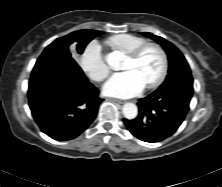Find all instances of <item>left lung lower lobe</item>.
I'll use <instances>...</instances> for the list:
<instances>
[{
  "label": "left lung lower lobe",
  "instance_id": "1",
  "mask_svg": "<svg viewBox=\"0 0 222 187\" xmlns=\"http://www.w3.org/2000/svg\"><path fill=\"white\" fill-rule=\"evenodd\" d=\"M180 86L171 83L139 99V114L133 120L123 119L128 130L145 142H159L170 137L183 122L193 94L191 75L181 76Z\"/></svg>",
  "mask_w": 222,
  "mask_h": 187
}]
</instances>
